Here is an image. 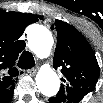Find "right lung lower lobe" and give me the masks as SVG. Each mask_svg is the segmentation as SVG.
Returning a JSON list of instances; mask_svg holds the SVG:
<instances>
[{
  "instance_id": "obj_1",
  "label": "right lung lower lobe",
  "mask_w": 103,
  "mask_h": 103,
  "mask_svg": "<svg viewBox=\"0 0 103 103\" xmlns=\"http://www.w3.org/2000/svg\"><path fill=\"white\" fill-rule=\"evenodd\" d=\"M12 95H13V92H11L10 94H8V95L5 97V99H4L3 102H5V103L9 102V101L11 100V98H12Z\"/></svg>"
}]
</instances>
